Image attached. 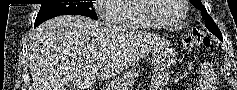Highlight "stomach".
Listing matches in <instances>:
<instances>
[{
    "label": "stomach",
    "mask_w": 237,
    "mask_h": 90,
    "mask_svg": "<svg viewBox=\"0 0 237 90\" xmlns=\"http://www.w3.org/2000/svg\"><path fill=\"white\" fill-rule=\"evenodd\" d=\"M175 61V55L172 52H166L161 56H155L153 60L154 68L156 70L164 69L173 64ZM140 71L132 69L126 71L124 74L113 80L107 85L106 90H130L134 85L136 78L139 76Z\"/></svg>",
    "instance_id": "stomach-1"
}]
</instances>
